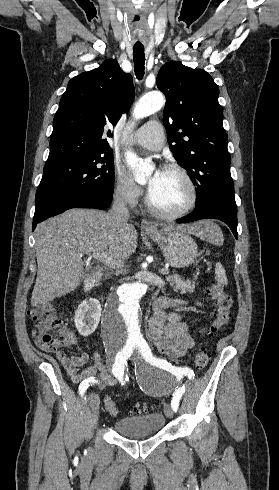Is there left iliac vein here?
<instances>
[{"label":"left iliac vein","instance_id":"4c4485c4","mask_svg":"<svg viewBox=\"0 0 279 490\" xmlns=\"http://www.w3.org/2000/svg\"><path fill=\"white\" fill-rule=\"evenodd\" d=\"M165 414L167 417L172 418L174 416V411L172 410L170 405L165 407Z\"/></svg>","mask_w":279,"mask_h":490}]
</instances>
